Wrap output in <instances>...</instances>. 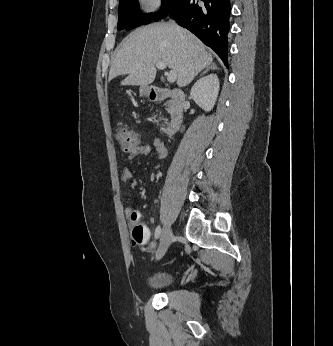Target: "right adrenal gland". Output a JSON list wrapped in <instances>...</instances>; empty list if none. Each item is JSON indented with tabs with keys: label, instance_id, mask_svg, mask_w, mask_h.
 Here are the masks:
<instances>
[{
	"label": "right adrenal gland",
	"instance_id": "obj_1",
	"mask_svg": "<svg viewBox=\"0 0 333 346\" xmlns=\"http://www.w3.org/2000/svg\"><path fill=\"white\" fill-rule=\"evenodd\" d=\"M217 69L216 65L215 64H211L209 65L200 75H204L205 73H207L209 70H215Z\"/></svg>",
	"mask_w": 333,
	"mask_h": 346
}]
</instances>
